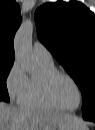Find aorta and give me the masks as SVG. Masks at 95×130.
<instances>
[{
	"label": "aorta",
	"mask_w": 95,
	"mask_h": 130,
	"mask_svg": "<svg viewBox=\"0 0 95 130\" xmlns=\"http://www.w3.org/2000/svg\"><path fill=\"white\" fill-rule=\"evenodd\" d=\"M33 30V22L30 20L25 21L18 29L14 41L15 57L31 75L37 72L32 48Z\"/></svg>",
	"instance_id": "1"
}]
</instances>
